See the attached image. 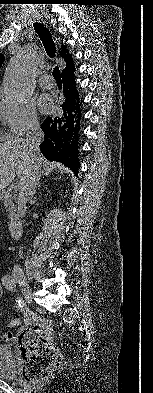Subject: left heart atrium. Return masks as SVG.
<instances>
[{"label":"left heart atrium","instance_id":"obj_1","mask_svg":"<svg viewBox=\"0 0 153 393\" xmlns=\"http://www.w3.org/2000/svg\"><path fill=\"white\" fill-rule=\"evenodd\" d=\"M51 100L47 96H42L40 99V108L41 111L46 113L49 112L51 109Z\"/></svg>","mask_w":153,"mask_h":393}]
</instances>
